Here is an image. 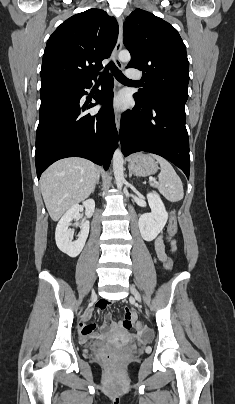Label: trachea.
Listing matches in <instances>:
<instances>
[{
    "label": "trachea",
    "instance_id": "obj_1",
    "mask_svg": "<svg viewBox=\"0 0 235 404\" xmlns=\"http://www.w3.org/2000/svg\"><path fill=\"white\" fill-rule=\"evenodd\" d=\"M111 70V72L113 73V75L115 76V78L122 83H137L136 81L133 80H129L117 67L116 65L111 61L107 67L106 70ZM102 78H100L99 80H101Z\"/></svg>",
    "mask_w": 235,
    "mask_h": 404
}]
</instances>
